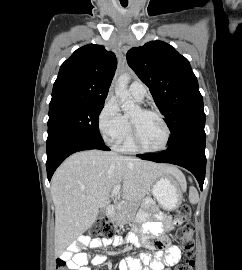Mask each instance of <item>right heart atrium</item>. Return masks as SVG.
<instances>
[{"mask_svg": "<svg viewBox=\"0 0 242 270\" xmlns=\"http://www.w3.org/2000/svg\"><path fill=\"white\" fill-rule=\"evenodd\" d=\"M98 128L104 141L111 145H117L126 130L125 116L111 95L107 97L99 113Z\"/></svg>", "mask_w": 242, "mask_h": 270, "instance_id": "d8ad5b80", "label": "right heart atrium"}]
</instances>
